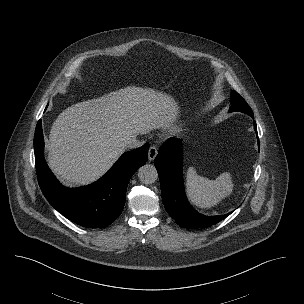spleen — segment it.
<instances>
[{"mask_svg":"<svg viewBox=\"0 0 304 304\" xmlns=\"http://www.w3.org/2000/svg\"><path fill=\"white\" fill-rule=\"evenodd\" d=\"M234 184L230 174L225 172L215 180L199 176L195 168L190 167L186 175V191L190 201L200 208L217 205L233 191Z\"/></svg>","mask_w":304,"mask_h":304,"instance_id":"3e777b00","label":"spleen"}]
</instances>
